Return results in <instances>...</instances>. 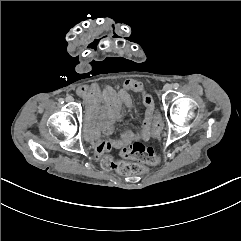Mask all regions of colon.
<instances>
[{
	"instance_id": "obj_1",
	"label": "colon",
	"mask_w": 241,
	"mask_h": 241,
	"mask_svg": "<svg viewBox=\"0 0 241 241\" xmlns=\"http://www.w3.org/2000/svg\"><path fill=\"white\" fill-rule=\"evenodd\" d=\"M161 123L157 121L154 125L153 133L155 136H158L161 133ZM104 154V153H103ZM123 156L130 159H141L142 161L149 163V164H157L160 162L161 158L156 153V151L141 143L135 142L131 145H127L123 150ZM108 164L103 165L104 162ZM102 165V170L105 173L110 172L111 169L119 170L122 173H135V174H144L147 171L146 166L144 165H132L128 164L124 161L119 163H115L113 159L108 155H103L102 160L100 161Z\"/></svg>"
}]
</instances>
